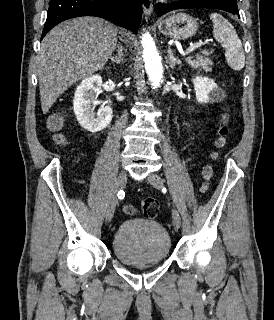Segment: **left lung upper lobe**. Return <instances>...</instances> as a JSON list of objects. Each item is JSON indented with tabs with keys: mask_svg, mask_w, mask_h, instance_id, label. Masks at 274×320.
I'll use <instances>...</instances> for the list:
<instances>
[{
	"mask_svg": "<svg viewBox=\"0 0 274 320\" xmlns=\"http://www.w3.org/2000/svg\"><path fill=\"white\" fill-rule=\"evenodd\" d=\"M231 2H237V0H230Z\"/></svg>",
	"mask_w": 274,
	"mask_h": 320,
	"instance_id": "1",
	"label": "left lung upper lobe"
}]
</instances>
